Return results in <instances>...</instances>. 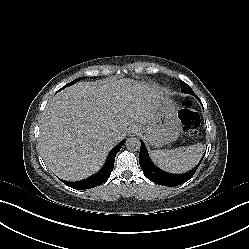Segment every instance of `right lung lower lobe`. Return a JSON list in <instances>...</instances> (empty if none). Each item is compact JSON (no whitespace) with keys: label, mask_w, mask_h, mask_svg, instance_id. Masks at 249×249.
<instances>
[{"label":"right lung lower lobe","mask_w":249,"mask_h":249,"mask_svg":"<svg viewBox=\"0 0 249 249\" xmlns=\"http://www.w3.org/2000/svg\"><path fill=\"white\" fill-rule=\"evenodd\" d=\"M124 142L125 141L123 140L110 152L104 167L97 174L84 181L74 183L73 185L78 189H90L103 184L110 177L111 171L114 168L115 156Z\"/></svg>","instance_id":"right-lung-lower-lobe-1"}]
</instances>
